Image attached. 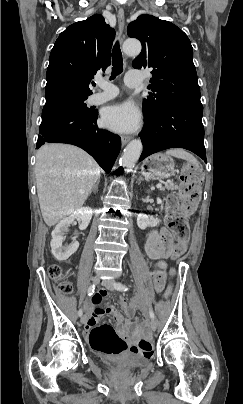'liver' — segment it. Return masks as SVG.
Here are the masks:
<instances>
[{
	"mask_svg": "<svg viewBox=\"0 0 243 404\" xmlns=\"http://www.w3.org/2000/svg\"><path fill=\"white\" fill-rule=\"evenodd\" d=\"M100 172L95 160L76 146H42L36 154L35 178L45 224L55 226L82 208Z\"/></svg>",
	"mask_w": 243,
	"mask_h": 404,
	"instance_id": "6515ba94",
	"label": "liver"
}]
</instances>
